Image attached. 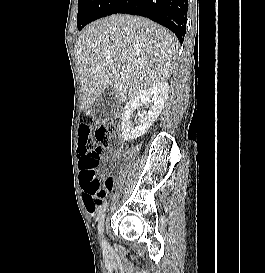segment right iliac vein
Listing matches in <instances>:
<instances>
[{"label":"right iliac vein","instance_id":"1","mask_svg":"<svg viewBox=\"0 0 265 273\" xmlns=\"http://www.w3.org/2000/svg\"><path fill=\"white\" fill-rule=\"evenodd\" d=\"M104 221H105V215H102V217L99 220V224H98V232L100 235H103Z\"/></svg>","mask_w":265,"mask_h":273}]
</instances>
